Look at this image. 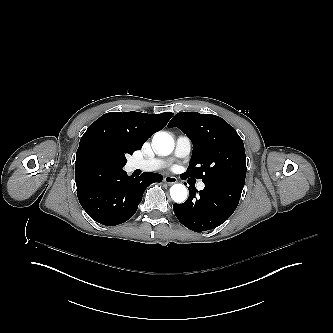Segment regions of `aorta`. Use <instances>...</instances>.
<instances>
[{
	"label": "aorta",
	"instance_id": "obj_1",
	"mask_svg": "<svg viewBox=\"0 0 333 333\" xmlns=\"http://www.w3.org/2000/svg\"><path fill=\"white\" fill-rule=\"evenodd\" d=\"M152 143L154 150L161 155H168L174 149L173 138L164 131L156 132ZM170 196L177 203L184 202L187 198V188L183 184L175 183L170 187Z\"/></svg>",
	"mask_w": 333,
	"mask_h": 333
}]
</instances>
